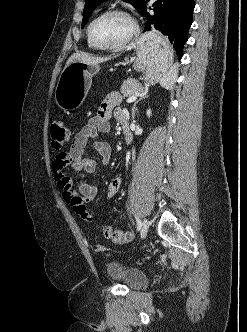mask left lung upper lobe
Instances as JSON below:
<instances>
[{
    "instance_id": "left-lung-upper-lobe-1",
    "label": "left lung upper lobe",
    "mask_w": 247,
    "mask_h": 332,
    "mask_svg": "<svg viewBox=\"0 0 247 332\" xmlns=\"http://www.w3.org/2000/svg\"><path fill=\"white\" fill-rule=\"evenodd\" d=\"M103 1L106 0H86L85 7L83 10V20H82V28L86 25L90 15L94 11V9ZM125 2L131 3L139 12L142 11V9L145 6L146 0H124Z\"/></svg>"
}]
</instances>
